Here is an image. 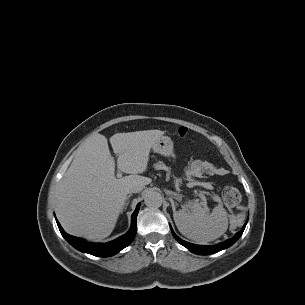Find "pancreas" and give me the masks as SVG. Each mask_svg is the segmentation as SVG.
Returning a JSON list of instances; mask_svg holds the SVG:
<instances>
[{
  "label": "pancreas",
  "instance_id": "pancreas-1",
  "mask_svg": "<svg viewBox=\"0 0 305 305\" xmlns=\"http://www.w3.org/2000/svg\"><path fill=\"white\" fill-rule=\"evenodd\" d=\"M154 168L156 170H165L167 172V177H169L171 174L170 167L166 166L163 161L156 162L154 164Z\"/></svg>",
  "mask_w": 305,
  "mask_h": 305
}]
</instances>
